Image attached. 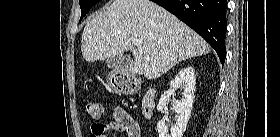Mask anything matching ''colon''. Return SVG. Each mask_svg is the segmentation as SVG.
<instances>
[{
    "label": "colon",
    "instance_id": "obj_1",
    "mask_svg": "<svg viewBox=\"0 0 280 137\" xmlns=\"http://www.w3.org/2000/svg\"><path fill=\"white\" fill-rule=\"evenodd\" d=\"M85 111L90 117L97 119L102 115L103 107L100 102L89 101L85 104ZM125 123L129 127L132 135H136L138 133L137 126L130 118L126 117Z\"/></svg>",
    "mask_w": 280,
    "mask_h": 137
}]
</instances>
